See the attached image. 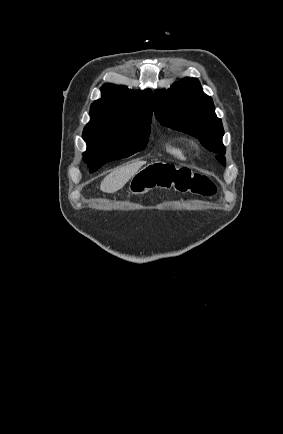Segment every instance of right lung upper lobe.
I'll return each instance as SVG.
<instances>
[{
  "instance_id": "1",
  "label": "right lung upper lobe",
  "mask_w": 283,
  "mask_h": 434,
  "mask_svg": "<svg viewBox=\"0 0 283 434\" xmlns=\"http://www.w3.org/2000/svg\"><path fill=\"white\" fill-rule=\"evenodd\" d=\"M101 93L102 98L91 104V120L85 128H115L151 122V90L133 91L126 86L106 83L101 87Z\"/></svg>"
}]
</instances>
